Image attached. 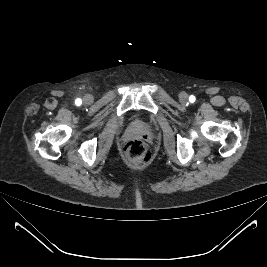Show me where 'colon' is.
<instances>
[{"mask_svg":"<svg viewBox=\"0 0 267 267\" xmlns=\"http://www.w3.org/2000/svg\"><path fill=\"white\" fill-rule=\"evenodd\" d=\"M124 155L131 163L144 164L150 160L151 150L144 141L134 139L125 144Z\"/></svg>","mask_w":267,"mask_h":267,"instance_id":"1","label":"colon"}]
</instances>
